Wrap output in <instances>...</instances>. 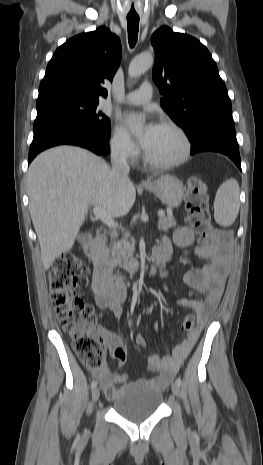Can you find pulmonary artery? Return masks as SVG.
Wrapping results in <instances>:
<instances>
[{
  "mask_svg": "<svg viewBox=\"0 0 263 465\" xmlns=\"http://www.w3.org/2000/svg\"><path fill=\"white\" fill-rule=\"evenodd\" d=\"M153 95V86L144 82L139 89L132 91L120 98V101L132 105H141L149 102Z\"/></svg>",
  "mask_w": 263,
  "mask_h": 465,
  "instance_id": "e3ab8cb5",
  "label": "pulmonary artery"
}]
</instances>
